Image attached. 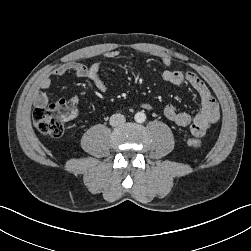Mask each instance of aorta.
<instances>
[{"instance_id":"obj_1","label":"aorta","mask_w":251,"mask_h":251,"mask_svg":"<svg viewBox=\"0 0 251 251\" xmlns=\"http://www.w3.org/2000/svg\"><path fill=\"white\" fill-rule=\"evenodd\" d=\"M134 120L137 123H143L146 120V115L143 112H138L135 114Z\"/></svg>"}]
</instances>
